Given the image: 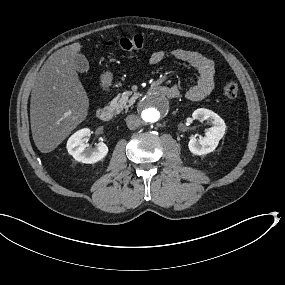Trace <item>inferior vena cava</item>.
I'll list each match as a JSON object with an SVG mask.
<instances>
[{"label":"inferior vena cava","instance_id":"inferior-vena-cava-1","mask_svg":"<svg viewBox=\"0 0 285 285\" xmlns=\"http://www.w3.org/2000/svg\"><path fill=\"white\" fill-rule=\"evenodd\" d=\"M126 124L130 130H135L140 125V118L136 115H130L126 117Z\"/></svg>","mask_w":285,"mask_h":285}]
</instances>
